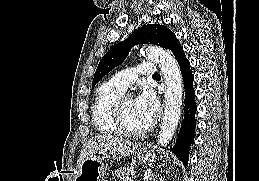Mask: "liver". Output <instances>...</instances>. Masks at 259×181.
I'll list each match as a JSON object with an SVG mask.
<instances>
[{"label": "liver", "mask_w": 259, "mask_h": 181, "mask_svg": "<svg viewBox=\"0 0 259 181\" xmlns=\"http://www.w3.org/2000/svg\"><path fill=\"white\" fill-rule=\"evenodd\" d=\"M137 148L138 144L112 134L96 135L84 144L77 164L79 166L83 160L96 154L126 157Z\"/></svg>", "instance_id": "liver-1"}]
</instances>
